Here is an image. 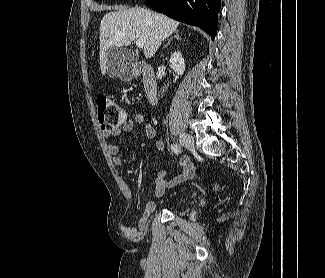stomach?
Wrapping results in <instances>:
<instances>
[{"label": "stomach", "mask_w": 325, "mask_h": 278, "mask_svg": "<svg viewBox=\"0 0 325 278\" xmlns=\"http://www.w3.org/2000/svg\"><path fill=\"white\" fill-rule=\"evenodd\" d=\"M133 76H134L133 69H129V70L122 69L121 77L123 80H125V81L131 80L133 78Z\"/></svg>", "instance_id": "1"}]
</instances>
